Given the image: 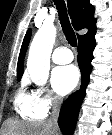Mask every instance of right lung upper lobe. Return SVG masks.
I'll list each match as a JSON object with an SVG mask.
<instances>
[{
	"mask_svg": "<svg viewBox=\"0 0 112 135\" xmlns=\"http://www.w3.org/2000/svg\"><path fill=\"white\" fill-rule=\"evenodd\" d=\"M68 9L74 29H88L87 33L78 35L79 41L90 37L96 33V19L94 18V7L90 4L89 0H68ZM30 37L31 30L29 29L24 37L18 59L17 78H21L23 74L24 58L30 41Z\"/></svg>",
	"mask_w": 112,
	"mask_h": 135,
	"instance_id": "cb5924a9",
	"label": "right lung upper lobe"
}]
</instances>
